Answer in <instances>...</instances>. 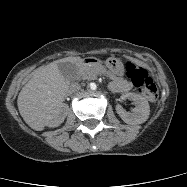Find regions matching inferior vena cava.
<instances>
[{"mask_svg": "<svg viewBox=\"0 0 187 187\" xmlns=\"http://www.w3.org/2000/svg\"><path fill=\"white\" fill-rule=\"evenodd\" d=\"M81 89V86L79 83H72L69 87V93H76Z\"/></svg>", "mask_w": 187, "mask_h": 187, "instance_id": "obj_1", "label": "inferior vena cava"}]
</instances>
